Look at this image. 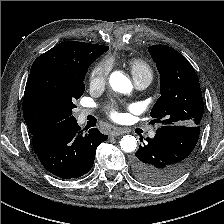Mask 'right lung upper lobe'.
<instances>
[{"label":"right lung upper lobe","instance_id":"cb5924a9","mask_svg":"<svg viewBox=\"0 0 224 224\" xmlns=\"http://www.w3.org/2000/svg\"><path fill=\"white\" fill-rule=\"evenodd\" d=\"M107 49L108 46L103 45L65 41L40 55L34 61L31 70L44 66L70 67L84 65L94 61ZM35 132L37 131H30L31 134Z\"/></svg>","mask_w":224,"mask_h":224}]
</instances>
